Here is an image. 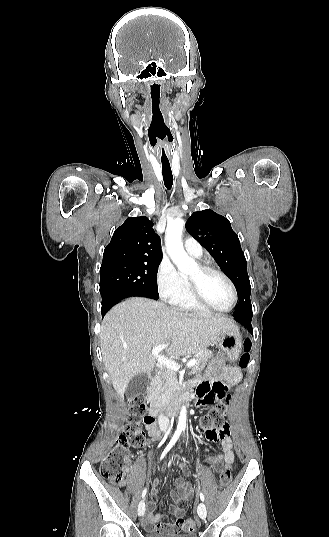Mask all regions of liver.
<instances>
[{
	"mask_svg": "<svg viewBox=\"0 0 329 537\" xmlns=\"http://www.w3.org/2000/svg\"><path fill=\"white\" fill-rule=\"evenodd\" d=\"M236 327L227 317L184 313L164 303L132 297L110 309L100 332L104 365L115 391L123 398L130 380L153 370V347L172 342L169 357L205 350L219 336Z\"/></svg>",
	"mask_w": 329,
	"mask_h": 537,
	"instance_id": "1",
	"label": "liver"
}]
</instances>
